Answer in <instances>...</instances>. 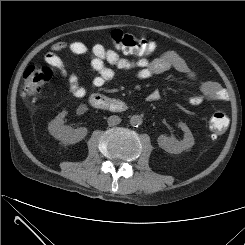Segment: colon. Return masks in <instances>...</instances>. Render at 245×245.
Masks as SVG:
<instances>
[{"label": "colon", "mask_w": 245, "mask_h": 245, "mask_svg": "<svg viewBox=\"0 0 245 245\" xmlns=\"http://www.w3.org/2000/svg\"><path fill=\"white\" fill-rule=\"evenodd\" d=\"M111 41L113 45L122 52L142 57H150L156 50V45L153 40L136 37L121 30H114L111 33ZM51 78L52 71L47 67H27L23 75V96L34 98L36 94L49 83ZM227 126V115L221 110L214 111L209 121L212 136L216 137L222 134Z\"/></svg>", "instance_id": "colon-1"}]
</instances>
